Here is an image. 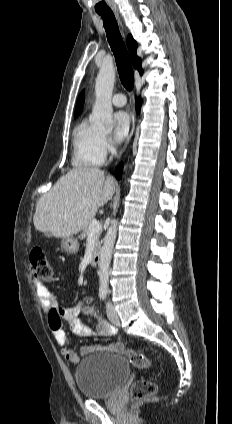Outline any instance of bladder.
Returning a JSON list of instances; mask_svg holds the SVG:
<instances>
[{
    "instance_id": "1",
    "label": "bladder",
    "mask_w": 232,
    "mask_h": 424,
    "mask_svg": "<svg viewBox=\"0 0 232 424\" xmlns=\"http://www.w3.org/2000/svg\"><path fill=\"white\" fill-rule=\"evenodd\" d=\"M131 376L129 362L106 353L91 354L80 361L75 381L86 399H104L114 395Z\"/></svg>"
}]
</instances>
